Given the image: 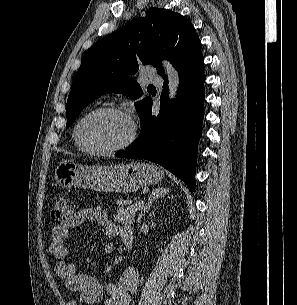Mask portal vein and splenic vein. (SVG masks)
<instances>
[{
    "label": "portal vein and splenic vein",
    "mask_w": 297,
    "mask_h": 305,
    "mask_svg": "<svg viewBox=\"0 0 297 305\" xmlns=\"http://www.w3.org/2000/svg\"><path fill=\"white\" fill-rule=\"evenodd\" d=\"M143 205V202L142 201H139L136 203V206L140 209Z\"/></svg>",
    "instance_id": "1"
}]
</instances>
